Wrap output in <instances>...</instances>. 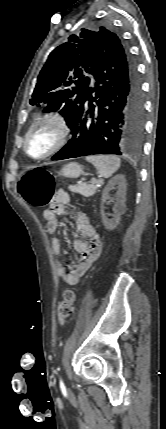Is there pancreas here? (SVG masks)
Wrapping results in <instances>:
<instances>
[{
  "label": "pancreas",
  "mask_w": 166,
  "mask_h": 429,
  "mask_svg": "<svg viewBox=\"0 0 166 429\" xmlns=\"http://www.w3.org/2000/svg\"><path fill=\"white\" fill-rule=\"evenodd\" d=\"M68 189L71 192L79 193L85 197H91L96 193L98 188L95 184L84 183L80 185L69 186Z\"/></svg>",
  "instance_id": "pancreas-1"
}]
</instances>
